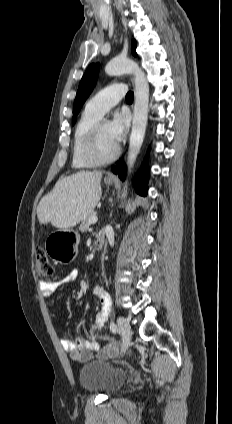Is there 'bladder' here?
I'll use <instances>...</instances> for the list:
<instances>
[{
  "instance_id": "obj_1",
  "label": "bladder",
  "mask_w": 232,
  "mask_h": 424,
  "mask_svg": "<svg viewBox=\"0 0 232 424\" xmlns=\"http://www.w3.org/2000/svg\"><path fill=\"white\" fill-rule=\"evenodd\" d=\"M79 381L88 391L108 394L125 383L126 373L111 362L91 361L81 367Z\"/></svg>"
}]
</instances>
